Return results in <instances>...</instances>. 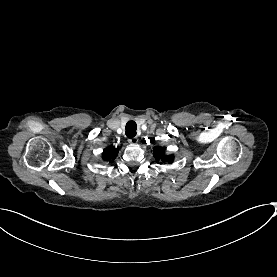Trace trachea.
<instances>
[{
    "label": "trachea",
    "instance_id": "3493384b",
    "mask_svg": "<svg viewBox=\"0 0 277 277\" xmlns=\"http://www.w3.org/2000/svg\"><path fill=\"white\" fill-rule=\"evenodd\" d=\"M136 130H137V125L134 121H129L126 124V136L128 138H133L136 136Z\"/></svg>",
    "mask_w": 277,
    "mask_h": 277
}]
</instances>
